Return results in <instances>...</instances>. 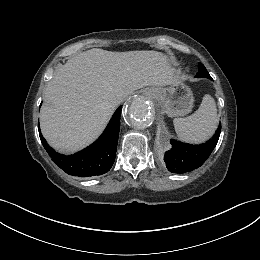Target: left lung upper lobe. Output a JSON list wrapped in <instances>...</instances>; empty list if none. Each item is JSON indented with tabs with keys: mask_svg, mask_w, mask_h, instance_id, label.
Segmentation results:
<instances>
[{
	"mask_svg": "<svg viewBox=\"0 0 260 260\" xmlns=\"http://www.w3.org/2000/svg\"><path fill=\"white\" fill-rule=\"evenodd\" d=\"M196 77H199V78L203 77V78L212 79L203 64H199V72L197 73Z\"/></svg>",
	"mask_w": 260,
	"mask_h": 260,
	"instance_id": "left-lung-upper-lobe-1",
	"label": "left lung upper lobe"
}]
</instances>
